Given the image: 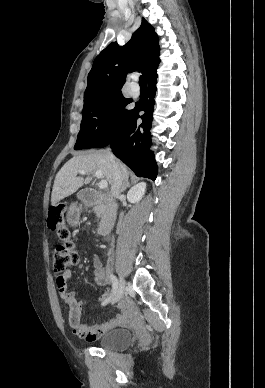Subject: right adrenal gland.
Here are the masks:
<instances>
[{
    "label": "right adrenal gland",
    "mask_w": 265,
    "mask_h": 388,
    "mask_svg": "<svg viewBox=\"0 0 265 388\" xmlns=\"http://www.w3.org/2000/svg\"><path fill=\"white\" fill-rule=\"evenodd\" d=\"M126 188H130V182H128V178H127L124 186H122L121 192H124V190H126Z\"/></svg>",
    "instance_id": "obj_1"
}]
</instances>
